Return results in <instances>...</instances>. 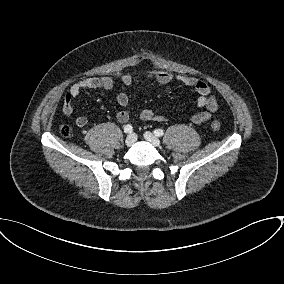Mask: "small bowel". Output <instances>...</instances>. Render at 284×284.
<instances>
[{"mask_svg":"<svg viewBox=\"0 0 284 284\" xmlns=\"http://www.w3.org/2000/svg\"><path fill=\"white\" fill-rule=\"evenodd\" d=\"M147 78L154 79L160 84H168L172 81H177L187 87L192 88L197 94L195 103L196 109H206L196 113L191 117V121L195 124H202L209 121L213 114L218 110V101L214 95L211 94L210 87L203 81H199L194 77L188 75H173L167 71L152 72L147 75ZM140 79L134 77L131 74H123L119 79H114L108 76L101 77H88L72 84L64 96L62 109L66 115L73 113L72 101L76 98L83 90L90 89L95 90L99 94L105 91L113 89L116 85L130 86ZM117 103L122 107L117 114L116 119L120 123H126L130 118V111L126 109L129 98L126 93L119 92L116 97ZM140 117L144 121L148 122H165L166 119L162 115L156 113L151 109H144L140 113ZM87 119L80 116L76 119V124L79 127H84L87 124Z\"/></svg>","mask_w":284,"mask_h":284,"instance_id":"c3829d8e","label":"small bowel"}]
</instances>
